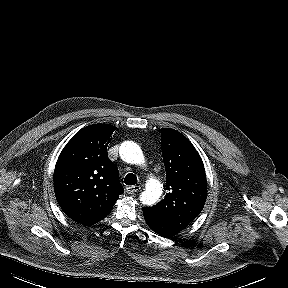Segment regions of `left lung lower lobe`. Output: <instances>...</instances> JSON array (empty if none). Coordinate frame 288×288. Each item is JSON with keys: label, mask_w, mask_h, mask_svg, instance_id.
Returning a JSON list of instances; mask_svg holds the SVG:
<instances>
[{"label": "left lung lower lobe", "mask_w": 288, "mask_h": 288, "mask_svg": "<svg viewBox=\"0 0 288 288\" xmlns=\"http://www.w3.org/2000/svg\"><path fill=\"white\" fill-rule=\"evenodd\" d=\"M143 215L147 225L157 234L163 237H170L178 234L182 229L172 226L163 220L154 217L146 208H143Z\"/></svg>", "instance_id": "1"}]
</instances>
